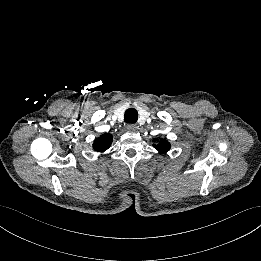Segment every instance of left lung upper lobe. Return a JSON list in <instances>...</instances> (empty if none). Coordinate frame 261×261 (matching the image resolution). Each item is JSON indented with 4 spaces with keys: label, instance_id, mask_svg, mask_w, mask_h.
<instances>
[{
    "label": "left lung upper lobe",
    "instance_id": "obj_1",
    "mask_svg": "<svg viewBox=\"0 0 261 261\" xmlns=\"http://www.w3.org/2000/svg\"><path fill=\"white\" fill-rule=\"evenodd\" d=\"M154 141L158 142V144H154L153 147L160 153L167 152L171 147L170 143L166 139H154Z\"/></svg>",
    "mask_w": 261,
    "mask_h": 261
}]
</instances>
